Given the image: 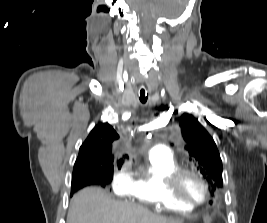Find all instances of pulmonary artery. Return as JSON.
<instances>
[{
    "instance_id": "obj_1",
    "label": "pulmonary artery",
    "mask_w": 267,
    "mask_h": 223,
    "mask_svg": "<svg viewBox=\"0 0 267 223\" xmlns=\"http://www.w3.org/2000/svg\"><path fill=\"white\" fill-rule=\"evenodd\" d=\"M150 156L166 158L171 156V152L167 146L158 144L150 150Z\"/></svg>"
}]
</instances>
